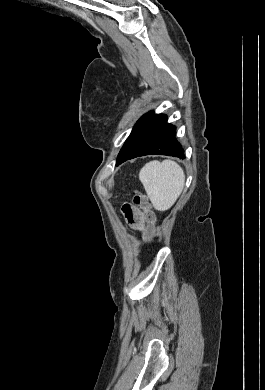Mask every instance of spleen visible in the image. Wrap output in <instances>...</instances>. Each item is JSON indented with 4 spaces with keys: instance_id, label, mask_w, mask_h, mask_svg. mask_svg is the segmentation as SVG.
I'll list each match as a JSON object with an SVG mask.
<instances>
[{
    "instance_id": "spleen-1",
    "label": "spleen",
    "mask_w": 265,
    "mask_h": 390,
    "mask_svg": "<svg viewBox=\"0 0 265 390\" xmlns=\"http://www.w3.org/2000/svg\"><path fill=\"white\" fill-rule=\"evenodd\" d=\"M139 179L158 211L170 209L180 196L185 174L180 165L172 160H157L146 163L139 172Z\"/></svg>"
}]
</instances>
